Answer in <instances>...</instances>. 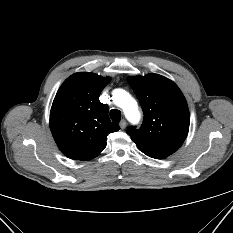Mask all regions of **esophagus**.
<instances>
[{
	"instance_id": "esophagus-1",
	"label": "esophagus",
	"mask_w": 233,
	"mask_h": 233,
	"mask_svg": "<svg viewBox=\"0 0 233 233\" xmlns=\"http://www.w3.org/2000/svg\"><path fill=\"white\" fill-rule=\"evenodd\" d=\"M126 125H127V122L124 119L121 120L120 123H119V126H120L121 129H125Z\"/></svg>"
}]
</instances>
